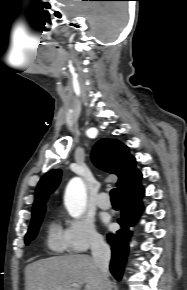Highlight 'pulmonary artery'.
I'll return each instance as SVG.
<instances>
[{
	"label": "pulmonary artery",
	"instance_id": "pulmonary-artery-1",
	"mask_svg": "<svg viewBox=\"0 0 187 290\" xmlns=\"http://www.w3.org/2000/svg\"><path fill=\"white\" fill-rule=\"evenodd\" d=\"M96 204L101 209H109L111 207V202L109 200L108 194L101 192L96 199Z\"/></svg>",
	"mask_w": 187,
	"mask_h": 290
}]
</instances>
